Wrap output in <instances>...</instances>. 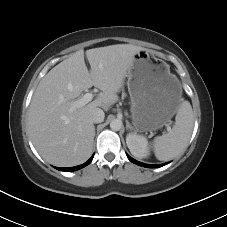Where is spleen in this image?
Instances as JSON below:
<instances>
[{"label":"spleen","mask_w":227,"mask_h":227,"mask_svg":"<svg viewBox=\"0 0 227 227\" xmlns=\"http://www.w3.org/2000/svg\"><path fill=\"white\" fill-rule=\"evenodd\" d=\"M194 126L191 104L182 101L175 117V125L168 133L158 136L153 141L155 156L160 161L170 160L187 147Z\"/></svg>","instance_id":"spleen-1"}]
</instances>
